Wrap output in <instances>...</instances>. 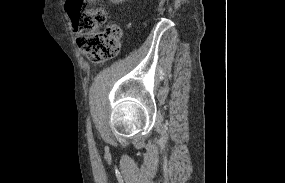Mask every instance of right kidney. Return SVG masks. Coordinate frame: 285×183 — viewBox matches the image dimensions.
Listing matches in <instances>:
<instances>
[{
    "label": "right kidney",
    "instance_id": "ca27d5eb",
    "mask_svg": "<svg viewBox=\"0 0 285 183\" xmlns=\"http://www.w3.org/2000/svg\"><path fill=\"white\" fill-rule=\"evenodd\" d=\"M114 4H119L120 2H124L126 0H110Z\"/></svg>",
    "mask_w": 285,
    "mask_h": 183
}]
</instances>
